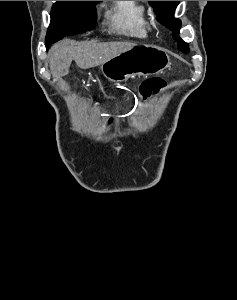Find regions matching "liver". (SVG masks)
Here are the masks:
<instances>
[{"instance_id":"liver-1","label":"liver","mask_w":237,"mask_h":300,"mask_svg":"<svg viewBox=\"0 0 237 300\" xmlns=\"http://www.w3.org/2000/svg\"><path fill=\"white\" fill-rule=\"evenodd\" d=\"M69 43L71 41L58 43L49 51L50 69L54 77L68 75L72 61H75L80 69H91L120 53L130 51L132 47H137L136 43H121V41L119 43L116 41L114 43H78L76 47Z\"/></svg>"}]
</instances>
